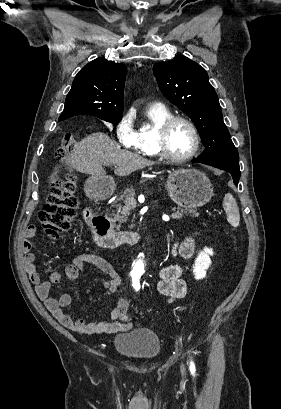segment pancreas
I'll use <instances>...</instances> for the list:
<instances>
[{
    "label": "pancreas",
    "mask_w": 281,
    "mask_h": 409,
    "mask_svg": "<svg viewBox=\"0 0 281 409\" xmlns=\"http://www.w3.org/2000/svg\"><path fill=\"white\" fill-rule=\"evenodd\" d=\"M130 193H136L134 188H127V190H125V192H123V194H120L119 196V200H122V202H119V205H117L118 209L114 215V221H113V223H116V221H118V225H114L117 231H119L122 223H126L127 221V217H124L123 215L124 213L123 209L124 207H126L125 201L128 199V195ZM190 213H192L193 217H199V213H197V211H194V209H190Z\"/></svg>",
    "instance_id": "obj_1"
}]
</instances>
